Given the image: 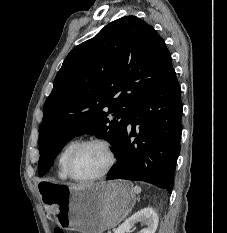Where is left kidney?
Returning <instances> with one entry per match:
<instances>
[{"mask_svg": "<svg viewBox=\"0 0 227 233\" xmlns=\"http://www.w3.org/2000/svg\"><path fill=\"white\" fill-rule=\"evenodd\" d=\"M138 221L144 223L147 226L142 230L141 233H155L159 218L157 213L152 208H144L128 218L116 229L115 233H129L134 224Z\"/></svg>", "mask_w": 227, "mask_h": 233, "instance_id": "5707ae66", "label": "left kidney"}]
</instances>
